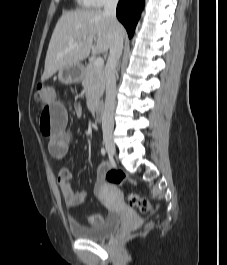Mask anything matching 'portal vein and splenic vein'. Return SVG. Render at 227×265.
Listing matches in <instances>:
<instances>
[{"instance_id":"1","label":"portal vein and splenic vein","mask_w":227,"mask_h":265,"mask_svg":"<svg viewBox=\"0 0 227 265\" xmlns=\"http://www.w3.org/2000/svg\"><path fill=\"white\" fill-rule=\"evenodd\" d=\"M93 63L95 65V67L100 68V67H103L104 60L101 57H97V58L94 59V62Z\"/></svg>"}]
</instances>
